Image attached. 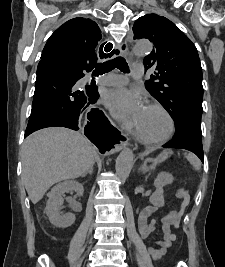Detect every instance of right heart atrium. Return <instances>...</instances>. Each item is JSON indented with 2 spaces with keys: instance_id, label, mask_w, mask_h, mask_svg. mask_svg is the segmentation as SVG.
<instances>
[{
  "instance_id": "1",
  "label": "right heart atrium",
  "mask_w": 225,
  "mask_h": 267,
  "mask_svg": "<svg viewBox=\"0 0 225 267\" xmlns=\"http://www.w3.org/2000/svg\"><path fill=\"white\" fill-rule=\"evenodd\" d=\"M123 127H124V128H128V127H127V126H125V125H124Z\"/></svg>"
}]
</instances>
